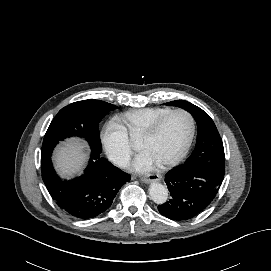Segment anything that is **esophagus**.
I'll list each match as a JSON object with an SVG mask.
<instances>
[{"instance_id": "34e87169", "label": "esophagus", "mask_w": 271, "mask_h": 271, "mask_svg": "<svg viewBox=\"0 0 271 271\" xmlns=\"http://www.w3.org/2000/svg\"><path fill=\"white\" fill-rule=\"evenodd\" d=\"M140 180L145 182V183L160 181L161 180V175H159V174H150V175L140 177Z\"/></svg>"}]
</instances>
